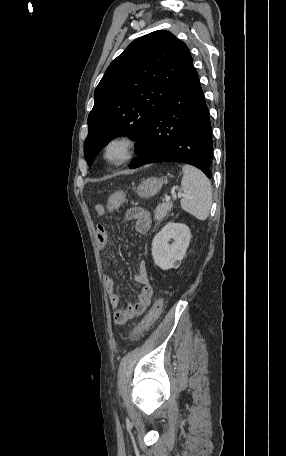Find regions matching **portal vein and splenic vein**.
<instances>
[{
	"instance_id": "portal-vein-and-splenic-vein-1",
	"label": "portal vein and splenic vein",
	"mask_w": 286,
	"mask_h": 456,
	"mask_svg": "<svg viewBox=\"0 0 286 456\" xmlns=\"http://www.w3.org/2000/svg\"><path fill=\"white\" fill-rule=\"evenodd\" d=\"M177 195H178V197H182L183 194L181 192H178ZM174 197H176V196H174ZM170 199H171L170 196H166V198H165L166 201H170Z\"/></svg>"
}]
</instances>
